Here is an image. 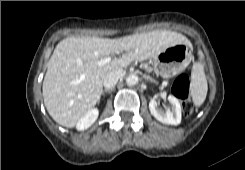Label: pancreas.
Listing matches in <instances>:
<instances>
[{
    "label": "pancreas",
    "mask_w": 245,
    "mask_h": 170,
    "mask_svg": "<svg viewBox=\"0 0 245 170\" xmlns=\"http://www.w3.org/2000/svg\"><path fill=\"white\" fill-rule=\"evenodd\" d=\"M147 70L150 71L151 69L148 67Z\"/></svg>",
    "instance_id": "obj_1"
}]
</instances>
